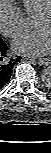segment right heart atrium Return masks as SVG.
<instances>
[{
    "label": "right heart atrium",
    "mask_w": 51,
    "mask_h": 153,
    "mask_svg": "<svg viewBox=\"0 0 51 153\" xmlns=\"http://www.w3.org/2000/svg\"><path fill=\"white\" fill-rule=\"evenodd\" d=\"M25 18L19 7L10 0H0V33L8 38L18 36L24 28Z\"/></svg>",
    "instance_id": "d8ad5b80"
}]
</instances>
